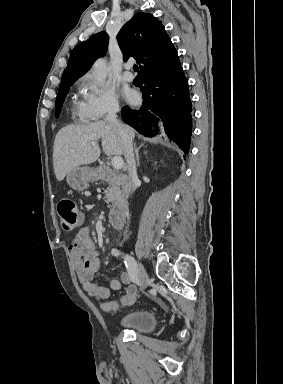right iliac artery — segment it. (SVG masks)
<instances>
[{"label": "right iliac artery", "mask_w": 283, "mask_h": 384, "mask_svg": "<svg viewBox=\"0 0 283 384\" xmlns=\"http://www.w3.org/2000/svg\"><path fill=\"white\" fill-rule=\"evenodd\" d=\"M111 253L114 256H122V258H124V263L127 267V272L130 276V280L133 283L138 282V269H137V264L135 263L134 259L131 256L122 255V253L116 248H113L111 250Z\"/></svg>", "instance_id": "82829eb1"}]
</instances>
